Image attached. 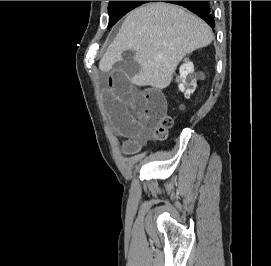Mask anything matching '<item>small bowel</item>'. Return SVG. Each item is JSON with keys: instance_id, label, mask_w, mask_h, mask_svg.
I'll list each match as a JSON object with an SVG mask.
<instances>
[{"instance_id": "obj_1", "label": "small bowel", "mask_w": 271, "mask_h": 266, "mask_svg": "<svg viewBox=\"0 0 271 266\" xmlns=\"http://www.w3.org/2000/svg\"><path fill=\"white\" fill-rule=\"evenodd\" d=\"M104 67L108 77L103 104L125 138L124 152H135L148 140L152 124L166 112L165 96L135 85L138 66L130 58Z\"/></svg>"}]
</instances>
